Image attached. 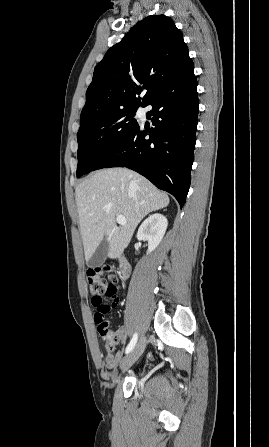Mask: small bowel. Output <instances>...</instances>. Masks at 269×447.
I'll list each match as a JSON object with an SVG mask.
<instances>
[{"label":"small bowel","instance_id":"small-bowel-1","mask_svg":"<svg viewBox=\"0 0 269 447\" xmlns=\"http://www.w3.org/2000/svg\"><path fill=\"white\" fill-rule=\"evenodd\" d=\"M114 335L117 338V340H119L122 344H126L128 342V336L126 334V327L124 325L118 326L114 330ZM121 356H122L121 353L113 354L111 352H107V354L105 356V360H104L105 366L109 369L116 367Z\"/></svg>","mask_w":269,"mask_h":447}]
</instances>
